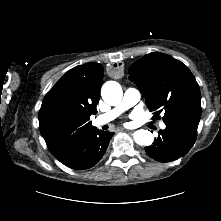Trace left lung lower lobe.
Returning a JSON list of instances; mask_svg holds the SVG:
<instances>
[{
    "label": "left lung lower lobe",
    "mask_w": 221,
    "mask_h": 221,
    "mask_svg": "<svg viewBox=\"0 0 221 221\" xmlns=\"http://www.w3.org/2000/svg\"><path fill=\"white\" fill-rule=\"evenodd\" d=\"M200 118L189 117L165 121L156 141L145 151L158 162H170L184 156L194 145Z\"/></svg>",
    "instance_id": "0a47b994"
}]
</instances>
